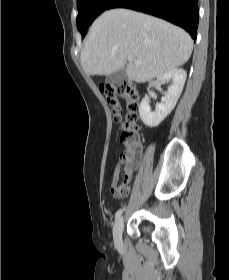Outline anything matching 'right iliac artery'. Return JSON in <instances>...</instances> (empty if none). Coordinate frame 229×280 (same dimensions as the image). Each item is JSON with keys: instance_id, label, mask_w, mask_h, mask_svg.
I'll return each instance as SVG.
<instances>
[{"instance_id": "obj_1", "label": "right iliac artery", "mask_w": 229, "mask_h": 280, "mask_svg": "<svg viewBox=\"0 0 229 280\" xmlns=\"http://www.w3.org/2000/svg\"><path fill=\"white\" fill-rule=\"evenodd\" d=\"M122 212H123V209H119V210L116 212V215H115L116 220L121 216Z\"/></svg>"}]
</instances>
